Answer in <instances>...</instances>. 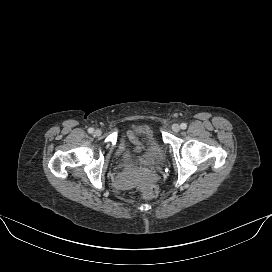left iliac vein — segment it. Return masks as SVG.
I'll use <instances>...</instances> for the list:
<instances>
[{
	"label": "left iliac vein",
	"instance_id": "obj_1",
	"mask_svg": "<svg viewBox=\"0 0 272 272\" xmlns=\"http://www.w3.org/2000/svg\"><path fill=\"white\" fill-rule=\"evenodd\" d=\"M171 129L174 131V132H179L180 131V126L178 124H173L171 126Z\"/></svg>",
	"mask_w": 272,
	"mask_h": 272
}]
</instances>
